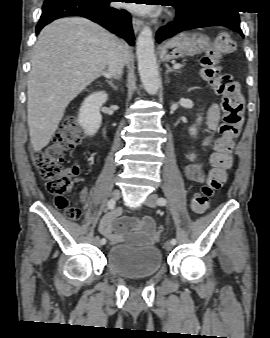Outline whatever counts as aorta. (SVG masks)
I'll list each match as a JSON object with an SVG mask.
<instances>
[{"label": "aorta", "mask_w": 270, "mask_h": 338, "mask_svg": "<svg viewBox=\"0 0 270 338\" xmlns=\"http://www.w3.org/2000/svg\"><path fill=\"white\" fill-rule=\"evenodd\" d=\"M136 54L141 82L149 94H156L159 89L160 79L153 33L149 26H144L137 38Z\"/></svg>", "instance_id": "obj_1"}]
</instances>
